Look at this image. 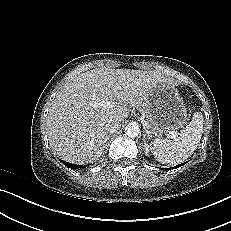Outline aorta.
Wrapping results in <instances>:
<instances>
[{"label": "aorta", "mask_w": 231, "mask_h": 231, "mask_svg": "<svg viewBox=\"0 0 231 231\" xmlns=\"http://www.w3.org/2000/svg\"><path fill=\"white\" fill-rule=\"evenodd\" d=\"M140 133V128L138 126L137 123H129L126 127H125V134L129 137H136L138 136Z\"/></svg>", "instance_id": "obj_1"}]
</instances>
